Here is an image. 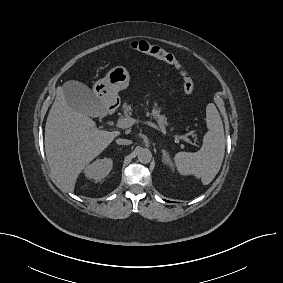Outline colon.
Wrapping results in <instances>:
<instances>
[{"label": "colon", "mask_w": 283, "mask_h": 283, "mask_svg": "<svg viewBox=\"0 0 283 283\" xmlns=\"http://www.w3.org/2000/svg\"><path fill=\"white\" fill-rule=\"evenodd\" d=\"M131 48L136 52L157 58L173 67L181 77L184 93L187 95L194 93L195 85L192 78L172 53L166 51L161 46L150 43L146 40L133 41L131 43Z\"/></svg>", "instance_id": "obj_1"}]
</instances>
